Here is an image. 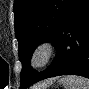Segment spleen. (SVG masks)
<instances>
[{"mask_svg":"<svg viewBox=\"0 0 89 89\" xmlns=\"http://www.w3.org/2000/svg\"><path fill=\"white\" fill-rule=\"evenodd\" d=\"M60 83L65 89H89V81L87 78L67 75L60 79Z\"/></svg>","mask_w":89,"mask_h":89,"instance_id":"spleen-1","label":"spleen"}]
</instances>
